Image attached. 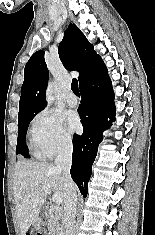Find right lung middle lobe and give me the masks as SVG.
I'll return each mask as SVG.
<instances>
[{
  "label": "right lung middle lobe",
  "mask_w": 155,
  "mask_h": 235,
  "mask_svg": "<svg viewBox=\"0 0 155 235\" xmlns=\"http://www.w3.org/2000/svg\"><path fill=\"white\" fill-rule=\"evenodd\" d=\"M37 113H30L18 118V141L16 147V154H21L25 158H29V152L25 144V135L27 132L30 121L35 117Z\"/></svg>",
  "instance_id": "dd1d6c3e"
}]
</instances>
